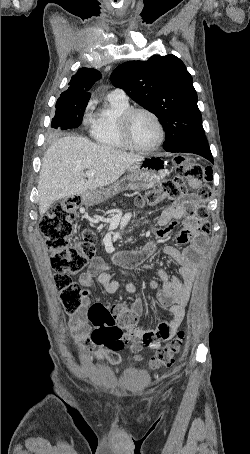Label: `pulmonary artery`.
Segmentation results:
<instances>
[{
  "mask_svg": "<svg viewBox=\"0 0 250 454\" xmlns=\"http://www.w3.org/2000/svg\"><path fill=\"white\" fill-rule=\"evenodd\" d=\"M108 97L114 98L120 101L127 102L128 96L127 94L121 89H115L109 92Z\"/></svg>",
  "mask_w": 250,
  "mask_h": 454,
  "instance_id": "obj_1",
  "label": "pulmonary artery"
}]
</instances>
